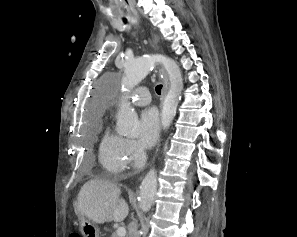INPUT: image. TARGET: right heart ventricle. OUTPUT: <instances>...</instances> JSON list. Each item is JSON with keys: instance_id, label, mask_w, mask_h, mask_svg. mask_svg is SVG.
<instances>
[{"instance_id": "e07e8e85", "label": "right heart ventricle", "mask_w": 297, "mask_h": 237, "mask_svg": "<svg viewBox=\"0 0 297 237\" xmlns=\"http://www.w3.org/2000/svg\"><path fill=\"white\" fill-rule=\"evenodd\" d=\"M127 140L106 129L99 144V162L111 175H117L128 166L126 158Z\"/></svg>"}]
</instances>
